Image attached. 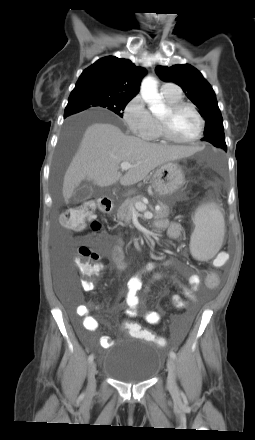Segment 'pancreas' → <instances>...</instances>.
<instances>
[{"label":"pancreas","mask_w":255,"mask_h":440,"mask_svg":"<svg viewBox=\"0 0 255 440\" xmlns=\"http://www.w3.org/2000/svg\"><path fill=\"white\" fill-rule=\"evenodd\" d=\"M143 196L137 195L126 199L117 210V218L120 221H129L132 216L131 209L136 203H142ZM169 216V207L159 203V209L154 211V219H163Z\"/></svg>","instance_id":"cf45deb5"}]
</instances>
